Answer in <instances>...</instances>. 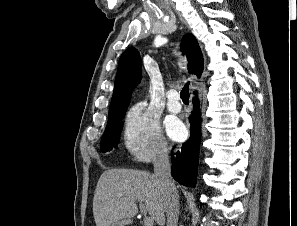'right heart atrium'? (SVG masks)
Segmentation results:
<instances>
[{"label": "right heart atrium", "instance_id": "1", "mask_svg": "<svg viewBox=\"0 0 297 226\" xmlns=\"http://www.w3.org/2000/svg\"><path fill=\"white\" fill-rule=\"evenodd\" d=\"M123 141L127 151L138 161H153L168 153L157 118L143 102L136 103L127 112Z\"/></svg>", "mask_w": 297, "mask_h": 226}]
</instances>
